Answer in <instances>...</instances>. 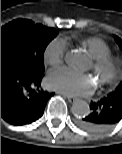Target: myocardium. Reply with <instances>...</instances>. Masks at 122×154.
Masks as SVG:
<instances>
[{
    "mask_svg": "<svg viewBox=\"0 0 122 154\" xmlns=\"http://www.w3.org/2000/svg\"><path fill=\"white\" fill-rule=\"evenodd\" d=\"M91 70L98 77L102 86L113 84L120 72V63L116 57L111 55L92 59Z\"/></svg>",
    "mask_w": 122,
    "mask_h": 154,
    "instance_id": "obj_1",
    "label": "myocardium"
}]
</instances>
